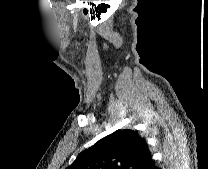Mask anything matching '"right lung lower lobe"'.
I'll use <instances>...</instances> for the list:
<instances>
[{"instance_id": "right-lung-lower-lobe-1", "label": "right lung lower lobe", "mask_w": 208, "mask_h": 169, "mask_svg": "<svg viewBox=\"0 0 208 169\" xmlns=\"http://www.w3.org/2000/svg\"><path fill=\"white\" fill-rule=\"evenodd\" d=\"M145 169H156L154 161L152 160Z\"/></svg>"}]
</instances>
